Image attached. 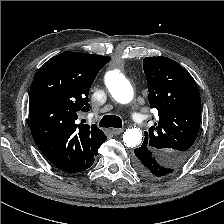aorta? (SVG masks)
Here are the masks:
<instances>
[{
    "instance_id": "1",
    "label": "aorta",
    "mask_w": 224,
    "mask_h": 224,
    "mask_svg": "<svg viewBox=\"0 0 224 224\" xmlns=\"http://www.w3.org/2000/svg\"><path fill=\"white\" fill-rule=\"evenodd\" d=\"M105 84L112 97L118 103L127 104L132 101L134 96L133 88L119 70L107 72L105 75ZM141 141L142 131L139 128H128L123 134V142L127 147H136Z\"/></svg>"
}]
</instances>
